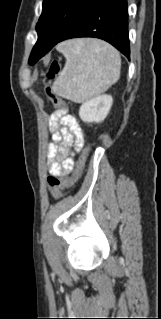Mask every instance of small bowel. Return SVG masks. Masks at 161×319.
<instances>
[{
    "instance_id": "1",
    "label": "small bowel",
    "mask_w": 161,
    "mask_h": 319,
    "mask_svg": "<svg viewBox=\"0 0 161 319\" xmlns=\"http://www.w3.org/2000/svg\"><path fill=\"white\" fill-rule=\"evenodd\" d=\"M49 129L53 133V141L48 146L47 154L49 173L63 176L73 170V151H80L83 147L82 129L74 116L61 109L50 115Z\"/></svg>"
}]
</instances>
